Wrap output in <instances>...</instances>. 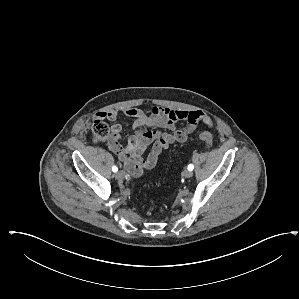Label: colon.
Returning <instances> with one entry per match:
<instances>
[{
	"mask_svg": "<svg viewBox=\"0 0 299 299\" xmlns=\"http://www.w3.org/2000/svg\"><path fill=\"white\" fill-rule=\"evenodd\" d=\"M91 134L96 142H107L112 138L110 126L101 118L94 119L89 125ZM198 138L207 148L212 147L213 137L210 132L203 131L198 134Z\"/></svg>",
	"mask_w": 299,
	"mask_h": 299,
	"instance_id": "colon-1",
	"label": "colon"
}]
</instances>
